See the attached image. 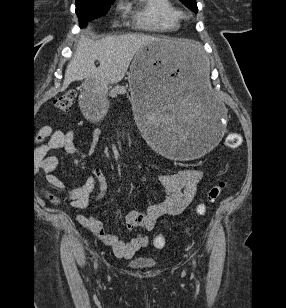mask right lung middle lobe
<instances>
[{
    "label": "right lung middle lobe",
    "instance_id": "dd1d6c3e",
    "mask_svg": "<svg viewBox=\"0 0 286 308\" xmlns=\"http://www.w3.org/2000/svg\"><path fill=\"white\" fill-rule=\"evenodd\" d=\"M115 0H76V14L80 26H85L88 21L101 17L107 13Z\"/></svg>",
    "mask_w": 286,
    "mask_h": 308
}]
</instances>
